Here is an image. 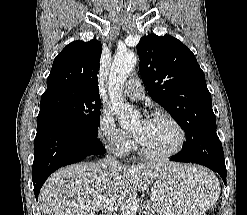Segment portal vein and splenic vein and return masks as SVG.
Listing matches in <instances>:
<instances>
[{
  "label": "portal vein and splenic vein",
  "mask_w": 247,
  "mask_h": 215,
  "mask_svg": "<svg viewBox=\"0 0 247 215\" xmlns=\"http://www.w3.org/2000/svg\"><path fill=\"white\" fill-rule=\"evenodd\" d=\"M138 206L137 204L133 203L129 208H120V215H135L136 210ZM93 209L95 210H100V209H105L108 212H114L119 209V206L114 204L111 200L109 199H101L97 203L93 205Z\"/></svg>",
  "instance_id": "18ae733b"
}]
</instances>
